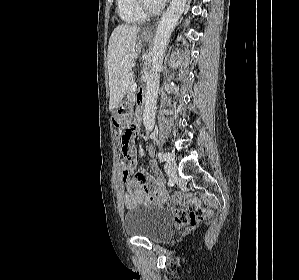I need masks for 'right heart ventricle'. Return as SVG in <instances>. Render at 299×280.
Instances as JSON below:
<instances>
[{
    "instance_id": "right-heart-ventricle-1",
    "label": "right heart ventricle",
    "mask_w": 299,
    "mask_h": 280,
    "mask_svg": "<svg viewBox=\"0 0 299 280\" xmlns=\"http://www.w3.org/2000/svg\"><path fill=\"white\" fill-rule=\"evenodd\" d=\"M121 20L128 24H140L146 16L139 10L136 0H116Z\"/></svg>"
}]
</instances>
